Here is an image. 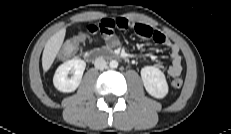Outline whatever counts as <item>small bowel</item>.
<instances>
[{
  "label": "small bowel",
  "instance_id": "1",
  "mask_svg": "<svg viewBox=\"0 0 231 134\" xmlns=\"http://www.w3.org/2000/svg\"><path fill=\"white\" fill-rule=\"evenodd\" d=\"M118 29H131L140 37L152 39L156 43L167 47L170 50V56L172 59L171 65L167 69V73L172 77L179 76L182 73V58L179 46L174 44L162 32L153 29L147 24L130 21L123 17L116 19L105 18L102 19L98 24H90L86 26L85 38L90 35L100 34L106 40L108 45L117 46L119 44V39L115 34V31Z\"/></svg>",
  "mask_w": 231,
  "mask_h": 134
}]
</instances>
